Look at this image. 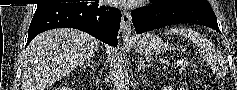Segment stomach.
I'll list each match as a JSON object with an SVG mask.
<instances>
[{"label": "stomach", "mask_w": 237, "mask_h": 90, "mask_svg": "<svg viewBox=\"0 0 237 90\" xmlns=\"http://www.w3.org/2000/svg\"><path fill=\"white\" fill-rule=\"evenodd\" d=\"M135 50L141 55H156L167 48V45L155 34L145 33L132 42Z\"/></svg>", "instance_id": "obj_1"}]
</instances>
